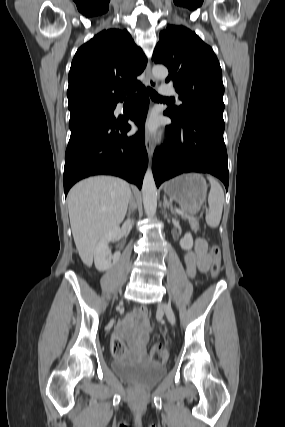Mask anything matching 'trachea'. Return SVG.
<instances>
[{
  "label": "trachea",
  "instance_id": "3493384b",
  "mask_svg": "<svg viewBox=\"0 0 285 427\" xmlns=\"http://www.w3.org/2000/svg\"><path fill=\"white\" fill-rule=\"evenodd\" d=\"M148 93L151 97L152 100H167L168 98L162 97L160 96L157 92H155L152 88L148 87L147 88ZM135 94L134 93H129L127 100H135Z\"/></svg>",
  "mask_w": 285,
  "mask_h": 427
}]
</instances>
